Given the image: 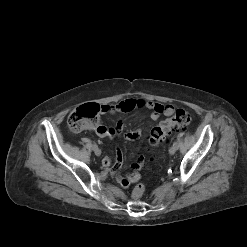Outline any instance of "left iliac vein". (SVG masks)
I'll return each mask as SVG.
<instances>
[{"mask_svg": "<svg viewBox=\"0 0 247 247\" xmlns=\"http://www.w3.org/2000/svg\"><path fill=\"white\" fill-rule=\"evenodd\" d=\"M176 151H177V147L176 146H171L170 149H169V153L171 155H174Z\"/></svg>", "mask_w": 247, "mask_h": 247, "instance_id": "1", "label": "left iliac vein"}]
</instances>
